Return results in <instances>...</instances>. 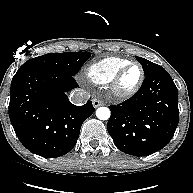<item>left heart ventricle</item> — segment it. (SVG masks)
<instances>
[{
  "mask_svg": "<svg viewBox=\"0 0 193 193\" xmlns=\"http://www.w3.org/2000/svg\"><path fill=\"white\" fill-rule=\"evenodd\" d=\"M140 69L136 66L131 67L128 71L124 74L121 80V87L123 89H129L133 87L140 78Z\"/></svg>",
  "mask_w": 193,
  "mask_h": 193,
  "instance_id": "1",
  "label": "left heart ventricle"
}]
</instances>
